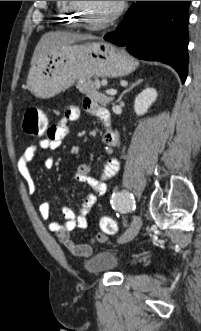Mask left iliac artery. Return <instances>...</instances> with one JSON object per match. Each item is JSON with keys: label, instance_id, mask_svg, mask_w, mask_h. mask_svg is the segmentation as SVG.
<instances>
[{"label": "left iliac artery", "instance_id": "left-iliac-artery-1", "mask_svg": "<svg viewBox=\"0 0 201 331\" xmlns=\"http://www.w3.org/2000/svg\"><path fill=\"white\" fill-rule=\"evenodd\" d=\"M112 208L119 213L126 215L131 211H135L136 205L133 195L129 192L118 191L112 195Z\"/></svg>", "mask_w": 201, "mask_h": 331}]
</instances>
